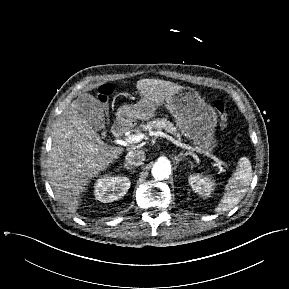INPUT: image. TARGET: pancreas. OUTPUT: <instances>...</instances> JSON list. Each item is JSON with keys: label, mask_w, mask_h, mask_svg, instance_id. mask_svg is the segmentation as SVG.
Returning a JSON list of instances; mask_svg holds the SVG:
<instances>
[{"label": "pancreas", "mask_w": 289, "mask_h": 289, "mask_svg": "<svg viewBox=\"0 0 289 289\" xmlns=\"http://www.w3.org/2000/svg\"><path fill=\"white\" fill-rule=\"evenodd\" d=\"M141 127L143 130L149 131V132L161 131L162 129H164L168 133L177 135V137L180 136L177 133L176 127L165 118L149 121L147 122V124L141 125Z\"/></svg>", "instance_id": "cf45deb5"}]
</instances>
